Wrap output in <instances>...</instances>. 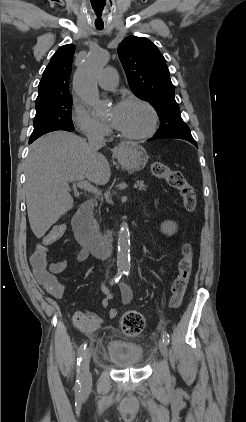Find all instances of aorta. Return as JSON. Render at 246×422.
Masks as SVG:
<instances>
[{"mask_svg": "<svg viewBox=\"0 0 246 422\" xmlns=\"http://www.w3.org/2000/svg\"><path fill=\"white\" fill-rule=\"evenodd\" d=\"M106 50L96 48L89 52L74 74L73 87L76 94L98 114L103 113L97 89V77L108 61ZM117 264L122 269L130 266V233L126 222H122L118 233Z\"/></svg>", "mask_w": 246, "mask_h": 422, "instance_id": "1", "label": "aorta"}]
</instances>
